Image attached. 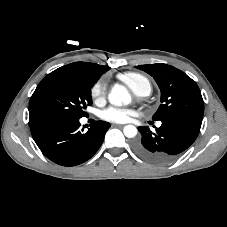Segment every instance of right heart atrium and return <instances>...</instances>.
Segmentation results:
<instances>
[{
  "instance_id": "obj_1",
  "label": "right heart atrium",
  "mask_w": 227,
  "mask_h": 227,
  "mask_svg": "<svg viewBox=\"0 0 227 227\" xmlns=\"http://www.w3.org/2000/svg\"><path fill=\"white\" fill-rule=\"evenodd\" d=\"M90 95L95 102H102L106 95V81L104 79L96 81L91 87Z\"/></svg>"
}]
</instances>
